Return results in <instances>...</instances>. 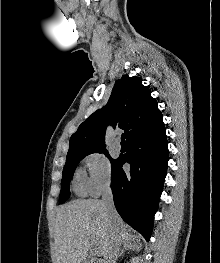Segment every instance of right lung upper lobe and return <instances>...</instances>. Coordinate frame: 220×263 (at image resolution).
Here are the masks:
<instances>
[{
    "label": "right lung upper lobe",
    "mask_w": 220,
    "mask_h": 263,
    "mask_svg": "<svg viewBox=\"0 0 220 263\" xmlns=\"http://www.w3.org/2000/svg\"><path fill=\"white\" fill-rule=\"evenodd\" d=\"M108 125L125 130L127 142L165 128L157 102L150 89L142 85L141 78L123 75L116 81L106 106L90 115L71 136L67 154L105 149Z\"/></svg>",
    "instance_id": "1"
}]
</instances>
